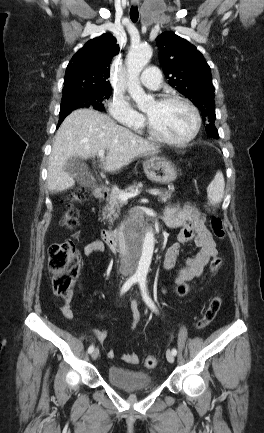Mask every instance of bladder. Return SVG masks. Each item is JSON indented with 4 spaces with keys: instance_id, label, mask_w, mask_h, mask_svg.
<instances>
[{
    "instance_id": "bladder-1",
    "label": "bladder",
    "mask_w": 264,
    "mask_h": 433,
    "mask_svg": "<svg viewBox=\"0 0 264 433\" xmlns=\"http://www.w3.org/2000/svg\"><path fill=\"white\" fill-rule=\"evenodd\" d=\"M107 378L112 385L127 391H149L154 387L151 374L114 365L107 369Z\"/></svg>"
}]
</instances>
